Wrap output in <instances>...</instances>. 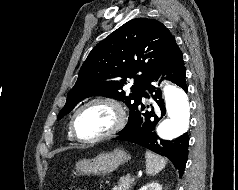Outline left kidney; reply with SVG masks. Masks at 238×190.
<instances>
[{
	"instance_id": "left-kidney-1",
	"label": "left kidney",
	"mask_w": 238,
	"mask_h": 190,
	"mask_svg": "<svg viewBox=\"0 0 238 190\" xmlns=\"http://www.w3.org/2000/svg\"><path fill=\"white\" fill-rule=\"evenodd\" d=\"M139 190H162V186L159 183H148L141 187Z\"/></svg>"
}]
</instances>
